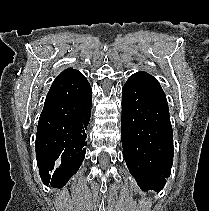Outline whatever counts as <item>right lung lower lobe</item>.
<instances>
[{
  "instance_id": "1",
  "label": "right lung lower lobe",
  "mask_w": 209,
  "mask_h": 211,
  "mask_svg": "<svg viewBox=\"0 0 209 211\" xmlns=\"http://www.w3.org/2000/svg\"><path fill=\"white\" fill-rule=\"evenodd\" d=\"M91 87L77 70L53 82L38 122L36 159L43 183L64 186L85 156Z\"/></svg>"
}]
</instances>
